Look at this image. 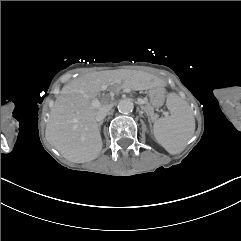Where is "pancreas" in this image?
<instances>
[{
  "mask_svg": "<svg viewBox=\"0 0 241 241\" xmlns=\"http://www.w3.org/2000/svg\"><path fill=\"white\" fill-rule=\"evenodd\" d=\"M143 109L146 110V112L150 115L154 116L153 108L149 104H145V106H143Z\"/></svg>",
  "mask_w": 241,
  "mask_h": 241,
  "instance_id": "1",
  "label": "pancreas"
}]
</instances>
